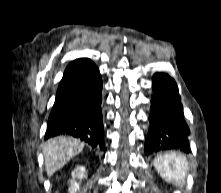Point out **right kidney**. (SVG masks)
I'll return each mask as SVG.
<instances>
[{"label":"right kidney","mask_w":221,"mask_h":193,"mask_svg":"<svg viewBox=\"0 0 221 193\" xmlns=\"http://www.w3.org/2000/svg\"><path fill=\"white\" fill-rule=\"evenodd\" d=\"M86 177V169L83 166L77 167L73 172H72V178L73 180L70 181L71 186L69 188L70 193H76L77 190H79V183H77L74 179L78 178L79 180H82L83 178Z\"/></svg>","instance_id":"ca27d5eb"}]
</instances>
